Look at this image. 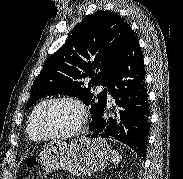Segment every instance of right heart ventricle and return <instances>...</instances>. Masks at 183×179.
<instances>
[{
	"label": "right heart ventricle",
	"instance_id": "e07e8e85",
	"mask_svg": "<svg viewBox=\"0 0 183 179\" xmlns=\"http://www.w3.org/2000/svg\"><path fill=\"white\" fill-rule=\"evenodd\" d=\"M45 102L46 101L43 100L34 107L28 120L26 132L28 137L33 141H40L44 139V137L40 134V132L37 129V116Z\"/></svg>",
	"mask_w": 183,
	"mask_h": 179
}]
</instances>
